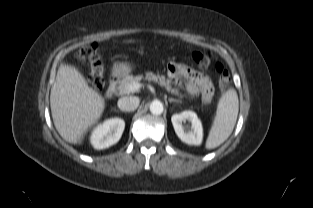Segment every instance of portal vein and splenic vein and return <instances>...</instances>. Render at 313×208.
Instances as JSON below:
<instances>
[{"label": "portal vein and splenic vein", "mask_w": 313, "mask_h": 208, "mask_svg": "<svg viewBox=\"0 0 313 208\" xmlns=\"http://www.w3.org/2000/svg\"><path fill=\"white\" fill-rule=\"evenodd\" d=\"M140 87H141L140 83L134 82V83L129 85L128 89L130 92H136L139 90Z\"/></svg>", "instance_id": "18ae733b"}]
</instances>
